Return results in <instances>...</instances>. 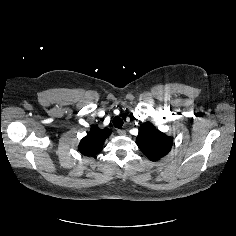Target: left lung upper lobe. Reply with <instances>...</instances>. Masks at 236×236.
<instances>
[{
	"label": "left lung upper lobe",
	"instance_id": "left-lung-upper-lobe-1",
	"mask_svg": "<svg viewBox=\"0 0 236 236\" xmlns=\"http://www.w3.org/2000/svg\"><path fill=\"white\" fill-rule=\"evenodd\" d=\"M136 140L141 151L152 161L167 155L172 147V138L160 132L149 122L140 125Z\"/></svg>",
	"mask_w": 236,
	"mask_h": 236
}]
</instances>
